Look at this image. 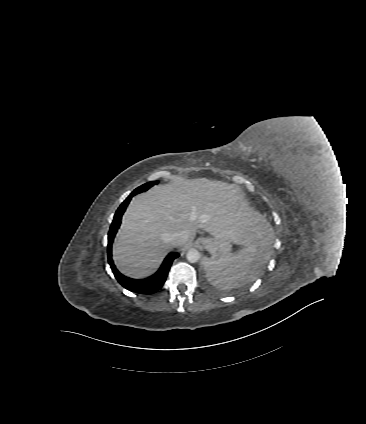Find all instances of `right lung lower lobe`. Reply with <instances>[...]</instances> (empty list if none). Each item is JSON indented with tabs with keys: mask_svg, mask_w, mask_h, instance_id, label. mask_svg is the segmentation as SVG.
<instances>
[{
	"mask_svg": "<svg viewBox=\"0 0 366 424\" xmlns=\"http://www.w3.org/2000/svg\"><path fill=\"white\" fill-rule=\"evenodd\" d=\"M136 195V191H133L127 199L120 205L118 210L115 213L114 220L111 224L110 231L108 233V262L112 268V271L118 280V282L125 287L126 289L136 292V293H142V294H150L156 292L161 286L164 284L166 277L168 275V271L170 269V266L175 258L179 256L178 253H170L166 259L164 260L162 266L160 267L159 271L154 274L153 276L142 279V280H135L128 277H125L119 271L116 269L113 260H112V242L114 239V236L117 232V229L120 226L121 218L126 210V207L128 206L131 198Z\"/></svg>",
	"mask_w": 366,
	"mask_h": 424,
	"instance_id": "obj_1",
	"label": "right lung lower lobe"
}]
</instances>
